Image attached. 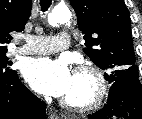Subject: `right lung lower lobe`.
Returning a JSON list of instances; mask_svg holds the SVG:
<instances>
[{
	"mask_svg": "<svg viewBox=\"0 0 142 119\" xmlns=\"http://www.w3.org/2000/svg\"><path fill=\"white\" fill-rule=\"evenodd\" d=\"M0 119H46V105L19 80H0Z\"/></svg>",
	"mask_w": 142,
	"mask_h": 119,
	"instance_id": "98d812e1",
	"label": "right lung lower lobe"
}]
</instances>
